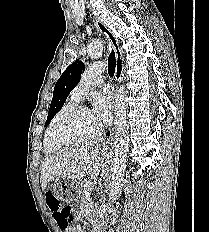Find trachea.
<instances>
[{"label": "trachea", "mask_w": 209, "mask_h": 232, "mask_svg": "<svg viewBox=\"0 0 209 232\" xmlns=\"http://www.w3.org/2000/svg\"><path fill=\"white\" fill-rule=\"evenodd\" d=\"M116 69V57H115V52L112 49L111 53L109 54L108 57V74L112 77L114 76Z\"/></svg>", "instance_id": "trachea-1"}]
</instances>
